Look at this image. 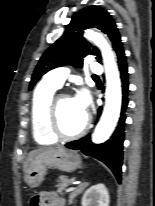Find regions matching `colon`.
<instances>
[{
	"instance_id": "1",
	"label": "colon",
	"mask_w": 155,
	"mask_h": 206,
	"mask_svg": "<svg viewBox=\"0 0 155 206\" xmlns=\"http://www.w3.org/2000/svg\"><path fill=\"white\" fill-rule=\"evenodd\" d=\"M38 202H39V199L37 197H34L31 200V205L32 206H38Z\"/></svg>"
}]
</instances>
